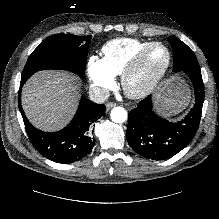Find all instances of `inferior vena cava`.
I'll return each instance as SVG.
<instances>
[{
	"label": "inferior vena cava",
	"instance_id": "inferior-vena-cava-1",
	"mask_svg": "<svg viewBox=\"0 0 219 219\" xmlns=\"http://www.w3.org/2000/svg\"><path fill=\"white\" fill-rule=\"evenodd\" d=\"M109 96L110 92L105 88L92 86L89 89V98L95 103H103L109 98Z\"/></svg>",
	"mask_w": 219,
	"mask_h": 219
}]
</instances>
